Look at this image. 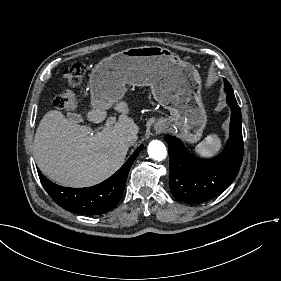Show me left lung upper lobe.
<instances>
[{"instance_id":"5c2ea615","label":"left lung upper lobe","mask_w":281,"mask_h":281,"mask_svg":"<svg viewBox=\"0 0 281 281\" xmlns=\"http://www.w3.org/2000/svg\"><path fill=\"white\" fill-rule=\"evenodd\" d=\"M224 86H225L226 93H233V89L230 83L226 79H224Z\"/></svg>"}]
</instances>
